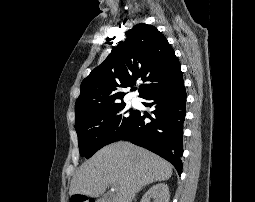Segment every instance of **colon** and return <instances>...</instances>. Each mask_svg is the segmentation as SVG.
I'll list each match as a JSON object with an SVG mask.
<instances>
[{"instance_id":"colon-1","label":"colon","mask_w":255,"mask_h":202,"mask_svg":"<svg viewBox=\"0 0 255 202\" xmlns=\"http://www.w3.org/2000/svg\"><path fill=\"white\" fill-rule=\"evenodd\" d=\"M70 202H88V200L86 198H74L72 199Z\"/></svg>"}]
</instances>
